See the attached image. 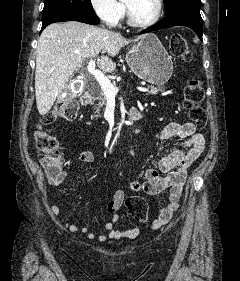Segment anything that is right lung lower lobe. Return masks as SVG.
<instances>
[{"label": "right lung lower lobe", "instance_id": "obj_1", "mask_svg": "<svg viewBox=\"0 0 240 281\" xmlns=\"http://www.w3.org/2000/svg\"><path fill=\"white\" fill-rule=\"evenodd\" d=\"M62 21H79L91 25H97L99 23L98 17H76L71 15H62L55 18L50 19L49 21L42 23L41 31L51 23L54 22H62Z\"/></svg>", "mask_w": 240, "mask_h": 281}]
</instances>
